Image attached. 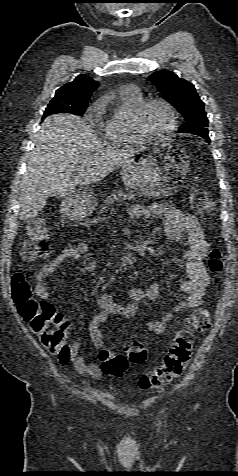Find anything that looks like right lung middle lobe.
<instances>
[{
  "instance_id": "right-lung-middle-lobe-1",
  "label": "right lung middle lobe",
  "mask_w": 238,
  "mask_h": 476,
  "mask_svg": "<svg viewBox=\"0 0 238 476\" xmlns=\"http://www.w3.org/2000/svg\"><path fill=\"white\" fill-rule=\"evenodd\" d=\"M86 104H76L67 97H54L48 104L43 118L54 113H71L75 115L83 114L86 110Z\"/></svg>"
}]
</instances>
